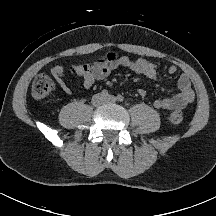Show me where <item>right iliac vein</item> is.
Instances as JSON below:
<instances>
[{"instance_id":"1","label":"right iliac vein","mask_w":216,"mask_h":216,"mask_svg":"<svg viewBox=\"0 0 216 216\" xmlns=\"http://www.w3.org/2000/svg\"><path fill=\"white\" fill-rule=\"evenodd\" d=\"M92 104L96 107L101 106L102 104H104V98L101 94H96L93 98H92Z\"/></svg>"}]
</instances>
